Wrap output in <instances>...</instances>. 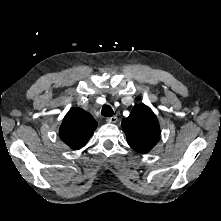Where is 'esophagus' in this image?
<instances>
[{
    "instance_id": "esophagus-1",
    "label": "esophagus",
    "mask_w": 221,
    "mask_h": 221,
    "mask_svg": "<svg viewBox=\"0 0 221 221\" xmlns=\"http://www.w3.org/2000/svg\"><path fill=\"white\" fill-rule=\"evenodd\" d=\"M106 121H107L108 123H116V122L118 121V118H117L116 116L108 117V118L106 119Z\"/></svg>"
}]
</instances>
